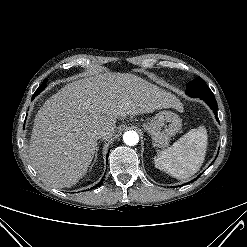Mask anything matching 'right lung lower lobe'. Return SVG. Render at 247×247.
Here are the masks:
<instances>
[{
    "mask_svg": "<svg viewBox=\"0 0 247 247\" xmlns=\"http://www.w3.org/2000/svg\"><path fill=\"white\" fill-rule=\"evenodd\" d=\"M36 95H38V94L35 92L33 97H32V100L36 97ZM107 156H108V154H107ZM102 181H103V179L99 182V184L96 185V187L101 186L102 185Z\"/></svg>",
    "mask_w": 247,
    "mask_h": 247,
    "instance_id": "obj_1",
    "label": "right lung lower lobe"
}]
</instances>
